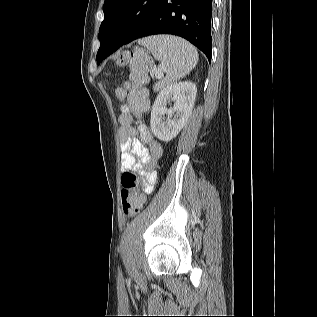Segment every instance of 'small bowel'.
Wrapping results in <instances>:
<instances>
[{
  "mask_svg": "<svg viewBox=\"0 0 317 317\" xmlns=\"http://www.w3.org/2000/svg\"><path fill=\"white\" fill-rule=\"evenodd\" d=\"M121 114L118 118L121 142V169L138 171L144 176L143 191L150 194L156 181L155 165L161 157L163 148L154 139L148 127L138 120L148 110V91L129 82L116 89Z\"/></svg>",
  "mask_w": 317,
  "mask_h": 317,
  "instance_id": "small-bowel-1",
  "label": "small bowel"
}]
</instances>
